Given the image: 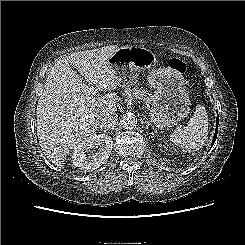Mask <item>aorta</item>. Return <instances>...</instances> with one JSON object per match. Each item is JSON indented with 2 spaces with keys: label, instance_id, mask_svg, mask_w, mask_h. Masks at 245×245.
<instances>
[{
  "label": "aorta",
  "instance_id": "obj_1",
  "mask_svg": "<svg viewBox=\"0 0 245 245\" xmlns=\"http://www.w3.org/2000/svg\"><path fill=\"white\" fill-rule=\"evenodd\" d=\"M121 123L125 129H133L137 125V117L133 113L123 115Z\"/></svg>",
  "mask_w": 245,
  "mask_h": 245
}]
</instances>
